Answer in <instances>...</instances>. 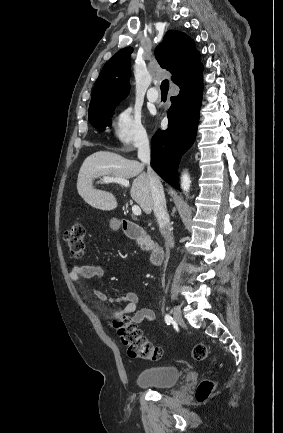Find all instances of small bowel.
<instances>
[{
    "mask_svg": "<svg viewBox=\"0 0 283 433\" xmlns=\"http://www.w3.org/2000/svg\"><path fill=\"white\" fill-rule=\"evenodd\" d=\"M107 272V267L102 263L87 262L82 265H74L70 268L69 276L72 281L81 284L82 280L101 279ZM96 297L111 304H124V307L113 312L112 316L120 318L131 315L132 321L139 325L143 322L152 323L155 320V313L147 307H139L140 297L136 292H128L122 296L110 297L102 289H95Z\"/></svg>",
    "mask_w": 283,
    "mask_h": 433,
    "instance_id": "small-bowel-1",
    "label": "small bowel"
}]
</instances>
